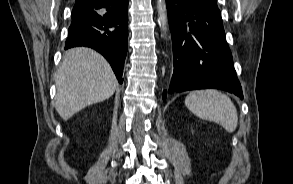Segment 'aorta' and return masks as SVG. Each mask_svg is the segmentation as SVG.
<instances>
[{
  "label": "aorta",
  "instance_id": "obj_1",
  "mask_svg": "<svg viewBox=\"0 0 293 184\" xmlns=\"http://www.w3.org/2000/svg\"><path fill=\"white\" fill-rule=\"evenodd\" d=\"M157 8H158V22L162 27L164 34L167 31V13H166V6L164 0H157Z\"/></svg>",
  "mask_w": 293,
  "mask_h": 184
}]
</instances>
